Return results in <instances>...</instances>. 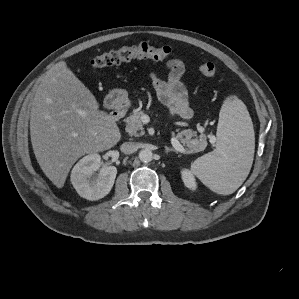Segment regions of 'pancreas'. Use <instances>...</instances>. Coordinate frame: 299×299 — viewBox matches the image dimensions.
<instances>
[{"mask_svg": "<svg viewBox=\"0 0 299 299\" xmlns=\"http://www.w3.org/2000/svg\"><path fill=\"white\" fill-rule=\"evenodd\" d=\"M144 112L137 108L133 110V113L125 119L126 122V131L130 135L141 136L144 135V128L142 123V116ZM196 136V133L191 129H186L178 131L175 138L184 146L187 147L188 153H197L203 151L207 146V141L205 136L200 138H193Z\"/></svg>", "mask_w": 299, "mask_h": 299, "instance_id": "obj_1", "label": "pancreas"}]
</instances>
